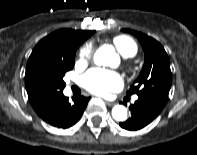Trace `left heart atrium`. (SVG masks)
Instances as JSON below:
<instances>
[{
	"label": "left heart atrium",
	"instance_id": "39dd6f15",
	"mask_svg": "<svg viewBox=\"0 0 197 155\" xmlns=\"http://www.w3.org/2000/svg\"><path fill=\"white\" fill-rule=\"evenodd\" d=\"M82 83L88 91L100 96L120 90L123 86V80L118 73L100 68L89 70L83 76Z\"/></svg>",
	"mask_w": 197,
	"mask_h": 155
}]
</instances>
